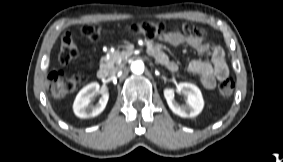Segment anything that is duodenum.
I'll list each match as a JSON object with an SVG mask.
<instances>
[{"mask_svg":"<svg viewBox=\"0 0 283 162\" xmlns=\"http://www.w3.org/2000/svg\"><path fill=\"white\" fill-rule=\"evenodd\" d=\"M149 53L153 56V57H156L157 55H159V52L158 50L151 46L149 47ZM108 70L106 68H100L97 72V76L99 79L103 80V79H106L108 77Z\"/></svg>","mask_w":283,"mask_h":162,"instance_id":"obj_1","label":"duodenum"}]
</instances>
